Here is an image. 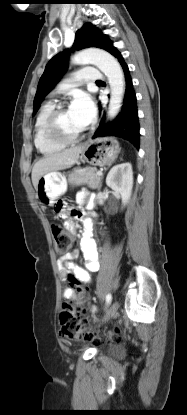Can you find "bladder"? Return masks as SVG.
<instances>
[{"label": "bladder", "instance_id": "bladder-1", "mask_svg": "<svg viewBox=\"0 0 187 415\" xmlns=\"http://www.w3.org/2000/svg\"><path fill=\"white\" fill-rule=\"evenodd\" d=\"M108 351L110 354L115 355V356H119L122 354V349L117 345L111 346Z\"/></svg>", "mask_w": 187, "mask_h": 415}]
</instances>
